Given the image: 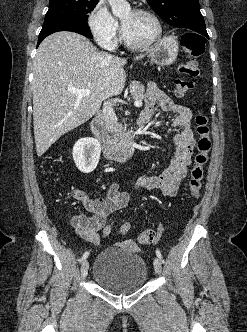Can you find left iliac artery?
<instances>
[{
	"instance_id": "left-iliac-artery-1",
	"label": "left iliac artery",
	"mask_w": 247,
	"mask_h": 332,
	"mask_svg": "<svg viewBox=\"0 0 247 332\" xmlns=\"http://www.w3.org/2000/svg\"><path fill=\"white\" fill-rule=\"evenodd\" d=\"M156 255L162 260V254H161L160 250H158V249L156 250Z\"/></svg>"
}]
</instances>
